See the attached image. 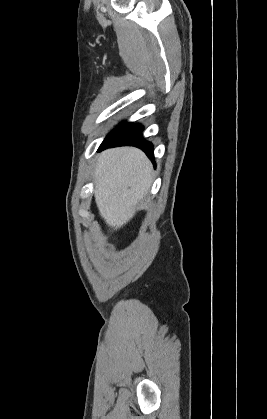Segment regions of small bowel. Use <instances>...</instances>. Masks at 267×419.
<instances>
[{
	"label": "small bowel",
	"instance_id": "obj_1",
	"mask_svg": "<svg viewBox=\"0 0 267 419\" xmlns=\"http://www.w3.org/2000/svg\"><path fill=\"white\" fill-rule=\"evenodd\" d=\"M112 253H113V251H112V250H110V251H109V255H111Z\"/></svg>",
	"mask_w": 267,
	"mask_h": 419
}]
</instances>
